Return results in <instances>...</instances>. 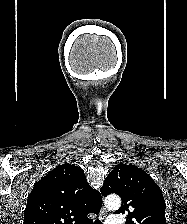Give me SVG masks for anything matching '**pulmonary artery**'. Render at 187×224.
<instances>
[{
	"instance_id": "pulmonary-artery-1",
	"label": "pulmonary artery",
	"mask_w": 187,
	"mask_h": 224,
	"mask_svg": "<svg viewBox=\"0 0 187 224\" xmlns=\"http://www.w3.org/2000/svg\"><path fill=\"white\" fill-rule=\"evenodd\" d=\"M107 224H123V221L120 219V217H113L108 220Z\"/></svg>"
}]
</instances>
